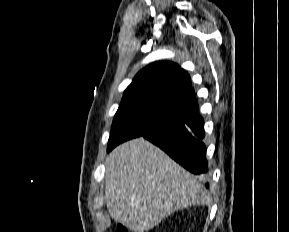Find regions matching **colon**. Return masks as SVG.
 I'll return each mask as SVG.
<instances>
[{"label":"colon","instance_id":"1","mask_svg":"<svg viewBox=\"0 0 289 232\" xmlns=\"http://www.w3.org/2000/svg\"><path fill=\"white\" fill-rule=\"evenodd\" d=\"M118 232H129V230L127 229V227L123 224H119L118 225Z\"/></svg>","mask_w":289,"mask_h":232}]
</instances>
